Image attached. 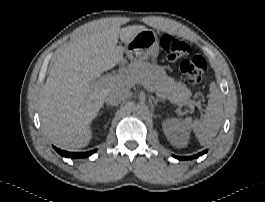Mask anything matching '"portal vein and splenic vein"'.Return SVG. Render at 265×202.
<instances>
[{"mask_svg": "<svg viewBox=\"0 0 265 202\" xmlns=\"http://www.w3.org/2000/svg\"><path fill=\"white\" fill-rule=\"evenodd\" d=\"M130 78L127 75L124 74H117L115 76H106L104 78H101L100 80L96 81L93 83L94 86H104V85H111V84H128L130 83ZM144 87L147 88L148 90H151V87L147 84V83H143ZM159 97H162L165 100L170 101L172 104H178L176 101H173L172 99L161 95V94H157ZM180 106H182L181 104H178Z\"/></svg>", "mask_w": 265, "mask_h": 202, "instance_id": "portal-vein-and-splenic-vein-1", "label": "portal vein and splenic vein"}]
</instances>
